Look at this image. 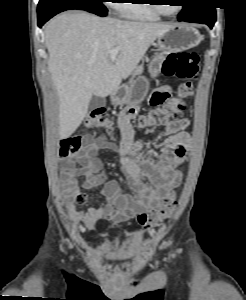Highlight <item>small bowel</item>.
Instances as JSON below:
<instances>
[{"instance_id":"1","label":"small bowel","mask_w":246,"mask_h":300,"mask_svg":"<svg viewBox=\"0 0 246 300\" xmlns=\"http://www.w3.org/2000/svg\"><path fill=\"white\" fill-rule=\"evenodd\" d=\"M155 93L169 96L170 87L163 85ZM150 102L152 104L151 99ZM139 109V105H132L120 112L117 122L121 137L117 143L108 141L104 136L86 135L76 160H68L63 167L61 187L67 199L69 215L75 224H84L86 228L93 229L100 221L123 222L156 206L171 189L181 183L179 167L185 160L191 142L185 130L189 121L181 118L167 123L166 133L169 136L160 147L159 159L155 160L143 152L134 139L132 120ZM104 148L119 155L122 172L127 176L133 192L131 195L123 193L118 180L103 169L98 154ZM78 177H84L82 184H79ZM97 187H101L106 201L85 210L78 209V206L87 202V196L81 189Z\"/></svg>"}]
</instances>
